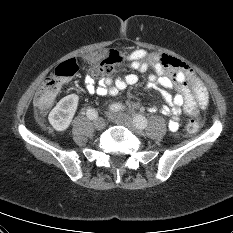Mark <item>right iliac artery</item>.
<instances>
[{"label":"right iliac artery","mask_w":233,"mask_h":233,"mask_svg":"<svg viewBox=\"0 0 233 233\" xmlns=\"http://www.w3.org/2000/svg\"><path fill=\"white\" fill-rule=\"evenodd\" d=\"M86 114H87V117L91 120L96 119L98 116L97 112L93 108H89Z\"/></svg>","instance_id":"right-iliac-artery-1"}]
</instances>
